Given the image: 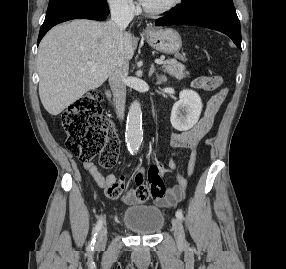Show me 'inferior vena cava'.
Masks as SVG:
<instances>
[{
	"mask_svg": "<svg viewBox=\"0 0 286 269\" xmlns=\"http://www.w3.org/2000/svg\"><path fill=\"white\" fill-rule=\"evenodd\" d=\"M134 18L133 8L126 2L117 3L111 6V21L120 34L122 44L123 31ZM129 63L121 60L117 63L111 77L110 86L113 92L116 113L119 119L124 118L126 85L125 80L128 76Z\"/></svg>",
	"mask_w": 286,
	"mask_h": 269,
	"instance_id": "602c4592",
	"label": "inferior vena cava"
}]
</instances>
